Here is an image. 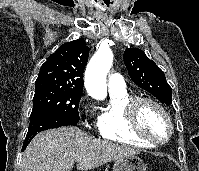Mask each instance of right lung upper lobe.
I'll return each instance as SVG.
<instances>
[{"label": "right lung upper lobe", "instance_id": "1", "mask_svg": "<svg viewBox=\"0 0 199 171\" xmlns=\"http://www.w3.org/2000/svg\"><path fill=\"white\" fill-rule=\"evenodd\" d=\"M89 47L84 39L62 44L41 66L36 85H55L83 92V71Z\"/></svg>", "mask_w": 199, "mask_h": 171}]
</instances>
